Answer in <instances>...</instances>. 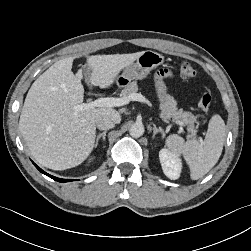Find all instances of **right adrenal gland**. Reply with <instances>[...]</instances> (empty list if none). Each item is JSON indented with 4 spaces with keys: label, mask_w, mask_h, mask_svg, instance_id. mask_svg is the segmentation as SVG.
I'll use <instances>...</instances> for the list:
<instances>
[{
    "label": "right adrenal gland",
    "mask_w": 251,
    "mask_h": 251,
    "mask_svg": "<svg viewBox=\"0 0 251 251\" xmlns=\"http://www.w3.org/2000/svg\"><path fill=\"white\" fill-rule=\"evenodd\" d=\"M106 133H107V130H105L104 132L99 133L97 135L96 142H95V148H97L98 142H99V140H100L101 137H102L103 141H105V139H106Z\"/></svg>",
    "instance_id": "right-adrenal-gland-1"
}]
</instances>
